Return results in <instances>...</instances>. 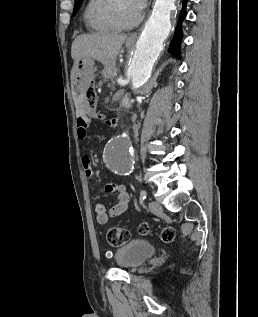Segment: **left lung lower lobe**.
Wrapping results in <instances>:
<instances>
[{
	"label": "left lung lower lobe",
	"mask_w": 258,
	"mask_h": 317,
	"mask_svg": "<svg viewBox=\"0 0 258 317\" xmlns=\"http://www.w3.org/2000/svg\"><path fill=\"white\" fill-rule=\"evenodd\" d=\"M187 1L188 0H183L182 10L180 13L179 21H178L177 27L175 29V35H174V38H173V40L170 44L169 50H168L170 53H172L174 56H176L179 59L181 58L180 57V40L182 38L181 25H182L183 19L186 16V3H187Z\"/></svg>",
	"instance_id": "1"
}]
</instances>
